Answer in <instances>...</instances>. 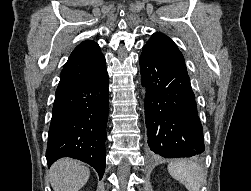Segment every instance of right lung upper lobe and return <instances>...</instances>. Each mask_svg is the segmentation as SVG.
I'll return each instance as SVG.
<instances>
[{"label":"right lung upper lobe","mask_w":251,"mask_h":191,"mask_svg":"<svg viewBox=\"0 0 251 191\" xmlns=\"http://www.w3.org/2000/svg\"><path fill=\"white\" fill-rule=\"evenodd\" d=\"M107 74L105 58L99 45L87 40L79 44L66 62L56 95L91 83Z\"/></svg>","instance_id":"cb5924a9"}]
</instances>
